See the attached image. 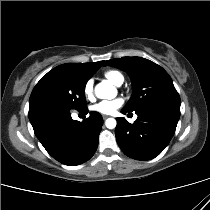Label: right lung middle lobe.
<instances>
[{"mask_svg": "<svg viewBox=\"0 0 210 210\" xmlns=\"http://www.w3.org/2000/svg\"><path fill=\"white\" fill-rule=\"evenodd\" d=\"M89 78L52 69L34 87L29 100V120L46 113L87 108L85 86Z\"/></svg>", "mask_w": 210, "mask_h": 210, "instance_id": "dd1d6c3e", "label": "right lung middle lobe"}]
</instances>
